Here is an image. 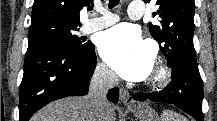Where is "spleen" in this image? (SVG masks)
I'll list each match as a JSON object with an SVG mask.
<instances>
[{
  "label": "spleen",
  "mask_w": 217,
  "mask_h": 121,
  "mask_svg": "<svg viewBox=\"0 0 217 121\" xmlns=\"http://www.w3.org/2000/svg\"><path fill=\"white\" fill-rule=\"evenodd\" d=\"M162 121H187L185 117L173 111H165L162 114Z\"/></svg>",
  "instance_id": "obj_1"
}]
</instances>
